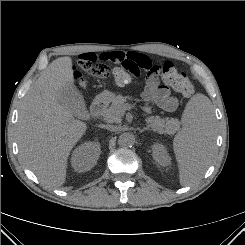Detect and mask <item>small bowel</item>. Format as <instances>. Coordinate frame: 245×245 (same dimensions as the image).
I'll list each match as a JSON object with an SVG mask.
<instances>
[{
    "label": "small bowel",
    "mask_w": 245,
    "mask_h": 245,
    "mask_svg": "<svg viewBox=\"0 0 245 245\" xmlns=\"http://www.w3.org/2000/svg\"><path fill=\"white\" fill-rule=\"evenodd\" d=\"M98 58L104 62H112L116 64L120 63L123 59L130 58L137 63L140 71L142 69L148 70L152 66L149 57L135 52H103L98 55ZM142 96L145 101L154 103L165 111H174L178 106V100L172 96L170 90L167 87L159 86L156 80L148 79Z\"/></svg>",
    "instance_id": "1"
}]
</instances>
